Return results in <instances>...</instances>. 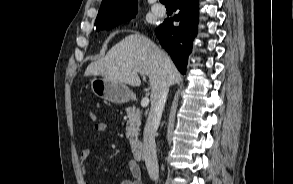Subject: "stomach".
I'll list each match as a JSON object with an SVG mask.
<instances>
[{
  "instance_id": "1",
  "label": "stomach",
  "mask_w": 293,
  "mask_h": 184,
  "mask_svg": "<svg viewBox=\"0 0 293 184\" xmlns=\"http://www.w3.org/2000/svg\"><path fill=\"white\" fill-rule=\"evenodd\" d=\"M90 86L95 96L115 104L125 103L133 97L125 83L106 77H93Z\"/></svg>"
}]
</instances>
